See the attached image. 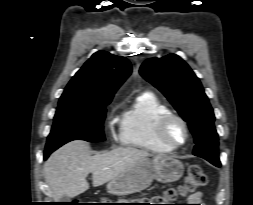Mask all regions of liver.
<instances>
[{"instance_id": "liver-1", "label": "liver", "mask_w": 253, "mask_h": 205, "mask_svg": "<svg viewBox=\"0 0 253 205\" xmlns=\"http://www.w3.org/2000/svg\"><path fill=\"white\" fill-rule=\"evenodd\" d=\"M90 146L82 140L71 141L50 155L44 163L45 180L54 200L75 197L89 189L86 177L92 173L94 187L110 182L129 166L151 156L134 147L117 148L110 152L90 155Z\"/></svg>"}]
</instances>
